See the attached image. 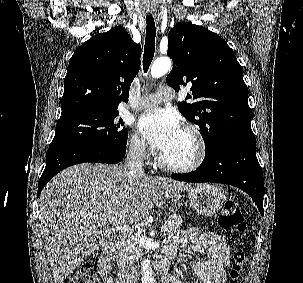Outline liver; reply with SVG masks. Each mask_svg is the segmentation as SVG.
Here are the masks:
<instances>
[{
	"label": "liver",
	"mask_w": 303,
	"mask_h": 283,
	"mask_svg": "<svg viewBox=\"0 0 303 283\" xmlns=\"http://www.w3.org/2000/svg\"><path fill=\"white\" fill-rule=\"evenodd\" d=\"M188 187L170 178H131L124 167L98 163L57 174L42 190L38 215L54 282L63 283L95 250L109 248L116 227L136 224L154 204L164 205L163 195Z\"/></svg>",
	"instance_id": "obj_1"
}]
</instances>
